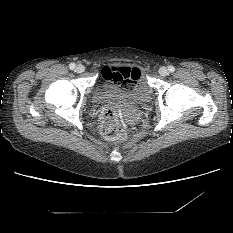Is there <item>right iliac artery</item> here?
<instances>
[{
  "mask_svg": "<svg viewBox=\"0 0 233 233\" xmlns=\"http://www.w3.org/2000/svg\"><path fill=\"white\" fill-rule=\"evenodd\" d=\"M75 67H76V65H75L74 63H70V64H69V68H70V69L73 70Z\"/></svg>",
  "mask_w": 233,
  "mask_h": 233,
  "instance_id": "obj_1",
  "label": "right iliac artery"
}]
</instances>
